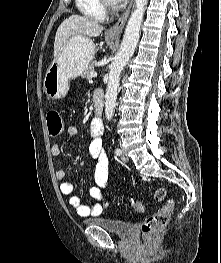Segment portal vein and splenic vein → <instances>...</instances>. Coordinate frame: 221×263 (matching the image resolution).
Returning a JSON list of instances; mask_svg holds the SVG:
<instances>
[{
  "label": "portal vein and splenic vein",
  "instance_id": "18ae733b",
  "mask_svg": "<svg viewBox=\"0 0 221 263\" xmlns=\"http://www.w3.org/2000/svg\"><path fill=\"white\" fill-rule=\"evenodd\" d=\"M91 76H92L93 78H95V77H97V73L94 72V73L91 74Z\"/></svg>",
  "mask_w": 221,
  "mask_h": 263
}]
</instances>
